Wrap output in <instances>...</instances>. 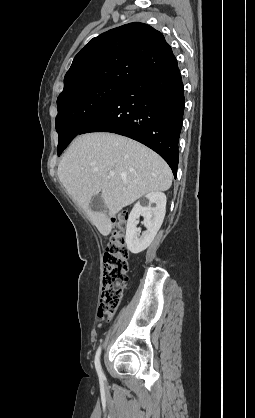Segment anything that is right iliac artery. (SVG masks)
<instances>
[{
  "instance_id": "82829eb1",
  "label": "right iliac artery",
  "mask_w": 255,
  "mask_h": 418,
  "mask_svg": "<svg viewBox=\"0 0 255 418\" xmlns=\"http://www.w3.org/2000/svg\"><path fill=\"white\" fill-rule=\"evenodd\" d=\"M100 354H101V346H99V348L97 349V352H96L95 368H96V371L98 373L99 379L103 381L105 379V377H104V374H103V371H102V368H101V364H100Z\"/></svg>"
}]
</instances>
